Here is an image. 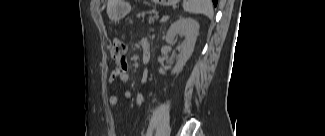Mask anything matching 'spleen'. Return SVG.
Instances as JSON below:
<instances>
[{"label":"spleen","mask_w":325,"mask_h":136,"mask_svg":"<svg viewBox=\"0 0 325 136\" xmlns=\"http://www.w3.org/2000/svg\"><path fill=\"white\" fill-rule=\"evenodd\" d=\"M183 9L188 13L203 14L213 17V5L210 0H184Z\"/></svg>","instance_id":"spleen-1"}]
</instances>
